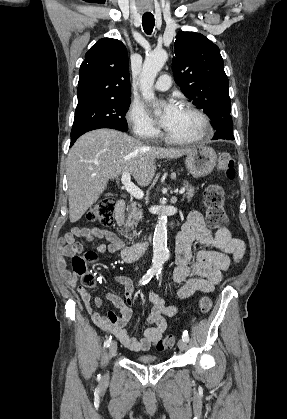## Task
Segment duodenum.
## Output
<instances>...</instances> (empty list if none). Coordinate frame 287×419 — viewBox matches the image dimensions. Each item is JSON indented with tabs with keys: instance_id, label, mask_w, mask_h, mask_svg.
<instances>
[{
	"instance_id": "obj_1",
	"label": "duodenum",
	"mask_w": 287,
	"mask_h": 419,
	"mask_svg": "<svg viewBox=\"0 0 287 419\" xmlns=\"http://www.w3.org/2000/svg\"><path fill=\"white\" fill-rule=\"evenodd\" d=\"M127 202L125 200H119L115 206V213L117 217L123 215L126 210ZM148 248V241L136 242L134 244L124 246L121 252V257L126 262L136 261L141 255L144 254Z\"/></svg>"
}]
</instances>
